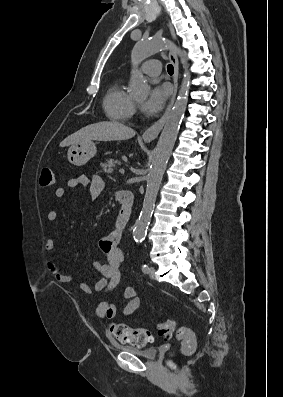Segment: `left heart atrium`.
<instances>
[{
	"instance_id": "1",
	"label": "left heart atrium",
	"mask_w": 283,
	"mask_h": 397,
	"mask_svg": "<svg viewBox=\"0 0 283 397\" xmlns=\"http://www.w3.org/2000/svg\"><path fill=\"white\" fill-rule=\"evenodd\" d=\"M169 94L170 88L167 85L153 87L148 98L141 105L142 111L146 114L157 113L164 106Z\"/></svg>"
}]
</instances>
